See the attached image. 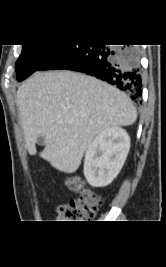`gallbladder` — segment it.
Here are the masks:
<instances>
[{"label":"gallbladder","instance_id":"bac80fb5","mask_svg":"<svg viewBox=\"0 0 166 267\" xmlns=\"http://www.w3.org/2000/svg\"><path fill=\"white\" fill-rule=\"evenodd\" d=\"M36 142H37L38 145H44V143H45L44 136H42V135L38 136Z\"/></svg>","mask_w":166,"mask_h":267}]
</instances>
